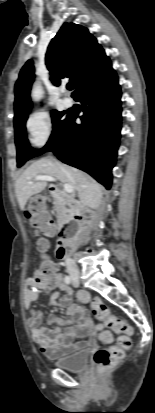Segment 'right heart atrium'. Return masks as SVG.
Masks as SVG:
<instances>
[{
	"mask_svg": "<svg viewBox=\"0 0 155 413\" xmlns=\"http://www.w3.org/2000/svg\"><path fill=\"white\" fill-rule=\"evenodd\" d=\"M29 143L36 148L43 147L51 138L53 119L46 111H36L26 120Z\"/></svg>",
	"mask_w": 155,
	"mask_h": 413,
	"instance_id": "obj_1",
	"label": "right heart atrium"
}]
</instances>
